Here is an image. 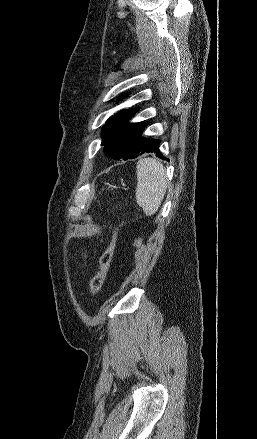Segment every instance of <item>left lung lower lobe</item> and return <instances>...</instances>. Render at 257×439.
<instances>
[{
  "label": "left lung lower lobe",
  "mask_w": 257,
  "mask_h": 439,
  "mask_svg": "<svg viewBox=\"0 0 257 439\" xmlns=\"http://www.w3.org/2000/svg\"><path fill=\"white\" fill-rule=\"evenodd\" d=\"M159 144H160V140L148 139L140 136L138 144L136 145L135 149L123 159L124 160L134 159L137 158L138 156L150 152L156 153L157 154L156 156L159 158L166 159L165 157H163L162 153L159 150Z\"/></svg>",
  "instance_id": "obj_1"
}]
</instances>
